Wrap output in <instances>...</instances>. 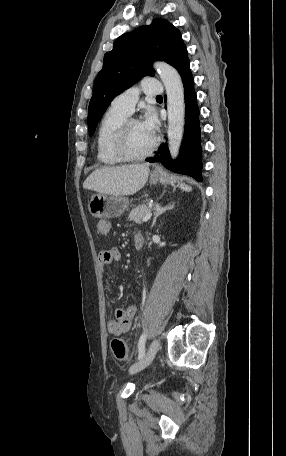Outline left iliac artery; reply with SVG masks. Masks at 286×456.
Instances as JSON below:
<instances>
[{
    "mask_svg": "<svg viewBox=\"0 0 286 456\" xmlns=\"http://www.w3.org/2000/svg\"><path fill=\"white\" fill-rule=\"evenodd\" d=\"M146 337H147V333H143L139 339V343H138V351H139V355H138V359H141L144 354H145V341H146Z\"/></svg>",
    "mask_w": 286,
    "mask_h": 456,
    "instance_id": "obj_1",
    "label": "left iliac artery"
}]
</instances>
